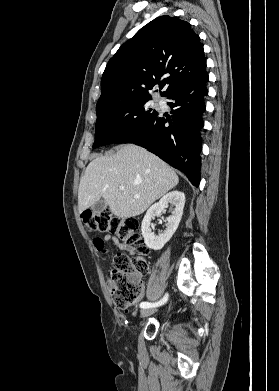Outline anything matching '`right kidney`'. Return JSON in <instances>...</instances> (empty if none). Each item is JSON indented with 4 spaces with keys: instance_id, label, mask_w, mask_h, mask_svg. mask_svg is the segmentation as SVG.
<instances>
[{
    "instance_id": "right-kidney-1",
    "label": "right kidney",
    "mask_w": 279,
    "mask_h": 391,
    "mask_svg": "<svg viewBox=\"0 0 279 391\" xmlns=\"http://www.w3.org/2000/svg\"><path fill=\"white\" fill-rule=\"evenodd\" d=\"M168 203L174 205L175 208L172 211V215L166 218V229L159 233L158 236H154V232H152L150 227L151 221L155 216H161ZM184 205L185 194L181 191L174 190L164 195L159 202L153 204L147 210L146 215L142 220L141 231L144 242L148 248L160 250L171 239L182 218Z\"/></svg>"
}]
</instances>
